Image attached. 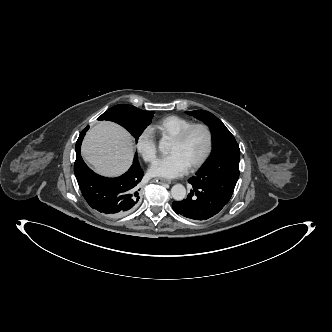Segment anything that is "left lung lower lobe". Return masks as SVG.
I'll return each mask as SVG.
<instances>
[{
  "label": "left lung lower lobe",
  "mask_w": 332,
  "mask_h": 332,
  "mask_svg": "<svg viewBox=\"0 0 332 332\" xmlns=\"http://www.w3.org/2000/svg\"><path fill=\"white\" fill-rule=\"evenodd\" d=\"M188 182L193 189L187 198L172 203V208L177 214L189 219L207 220L216 215L229 201L194 178Z\"/></svg>",
  "instance_id": "0a47b994"
}]
</instances>
